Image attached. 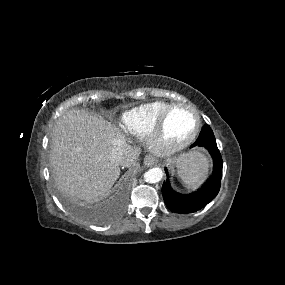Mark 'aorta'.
<instances>
[{
	"label": "aorta",
	"instance_id": "762f6f07",
	"mask_svg": "<svg viewBox=\"0 0 285 285\" xmlns=\"http://www.w3.org/2000/svg\"><path fill=\"white\" fill-rule=\"evenodd\" d=\"M163 177V171L160 168H152L144 173V179L148 183H157Z\"/></svg>",
	"mask_w": 285,
	"mask_h": 285
}]
</instances>
